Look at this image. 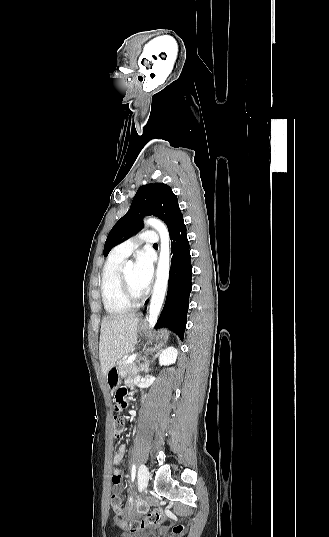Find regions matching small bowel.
Returning <instances> with one entry per match:
<instances>
[{
	"label": "small bowel",
	"instance_id": "obj_1",
	"mask_svg": "<svg viewBox=\"0 0 329 537\" xmlns=\"http://www.w3.org/2000/svg\"><path fill=\"white\" fill-rule=\"evenodd\" d=\"M129 390L127 388L126 383H121L120 387L116 390V396L113 399L114 402V413L120 414L122 411H125L127 409V402ZM126 452V448L124 445H121L117 448V450L113 454V463L115 465L119 464ZM112 481H113V490L117 493H123L124 487H123V473L119 468H114L113 475H112Z\"/></svg>",
	"mask_w": 329,
	"mask_h": 537
}]
</instances>
